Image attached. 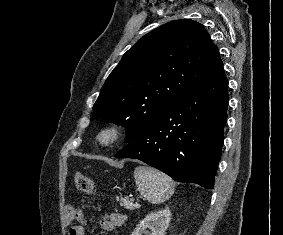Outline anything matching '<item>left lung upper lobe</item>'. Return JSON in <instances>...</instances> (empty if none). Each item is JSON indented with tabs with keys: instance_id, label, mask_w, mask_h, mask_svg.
<instances>
[{
	"instance_id": "1",
	"label": "left lung upper lobe",
	"mask_w": 283,
	"mask_h": 235,
	"mask_svg": "<svg viewBox=\"0 0 283 235\" xmlns=\"http://www.w3.org/2000/svg\"><path fill=\"white\" fill-rule=\"evenodd\" d=\"M223 67L203 25L183 19L142 37L108 76L94 114L126 127L130 142L175 101Z\"/></svg>"
}]
</instances>
